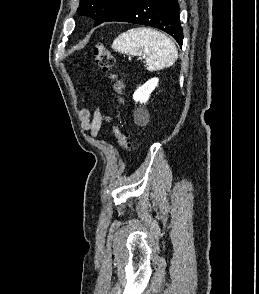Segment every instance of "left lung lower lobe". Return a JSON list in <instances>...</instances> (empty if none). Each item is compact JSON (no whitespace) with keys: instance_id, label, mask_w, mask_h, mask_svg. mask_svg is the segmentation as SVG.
<instances>
[{"instance_id":"0a47b994","label":"left lung lower lobe","mask_w":259,"mask_h":294,"mask_svg":"<svg viewBox=\"0 0 259 294\" xmlns=\"http://www.w3.org/2000/svg\"><path fill=\"white\" fill-rule=\"evenodd\" d=\"M144 24L170 34L182 46L183 30L177 0H124L115 6L104 22Z\"/></svg>"}]
</instances>
